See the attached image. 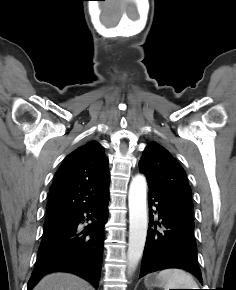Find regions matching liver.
Segmentation results:
<instances>
[{"instance_id":"1","label":"liver","mask_w":236,"mask_h":290,"mask_svg":"<svg viewBox=\"0 0 236 290\" xmlns=\"http://www.w3.org/2000/svg\"><path fill=\"white\" fill-rule=\"evenodd\" d=\"M33 290H93L88 282L69 273L44 276Z\"/></svg>"}]
</instances>
